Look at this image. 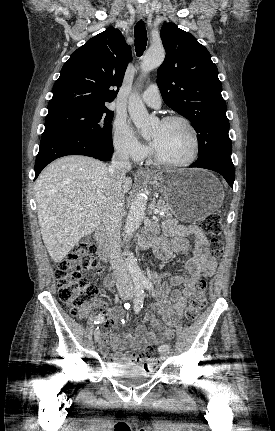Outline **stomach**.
I'll return each mask as SVG.
<instances>
[{"mask_svg":"<svg viewBox=\"0 0 275 431\" xmlns=\"http://www.w3.org/2000/svg\"><path fill=\"white\" fill-rule=\"evenodd\" d=\"M145 180L161 192L171 212L183 222L201 220L223 202L220 182L203 169L164 171Z\"/></svg>","mask_w":275,"mask_h":431,"instance_id":"stomach-1","label":"stomach"}]
</instances>
